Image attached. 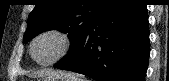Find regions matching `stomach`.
Segmentation results:
<instances>
[{"label": "stomach", "mask_w": 169, "mask_h": 81, "mask_svg": "<svg viewBox=\"0 0 169 81\" xmlns=\"http://www.w3.org/2000/svg\"><path fill=\"white\" fill-rule=\"evenodd\" d=\"M39 81H74V80L59 75H49L46 77H42Z\"/></svg>", "instance_id": "0dacf381"}]
</instances>
